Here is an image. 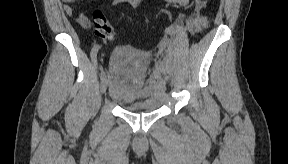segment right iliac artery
Returning a JSON list of instances; mask_svg holds the SVG:
<instances>
[{
	"label": "right iliac artery",
	"instance_id": "82829eb1",
	"mask_svg": "<svg viewBox=\"0 0 288 164\" xmlns=\"http://www.w3.org/2000/svg\"><path fill=\"white\" fill-rule=\"evenodd\" d=\"M100 48H101L100 45H96V46H94V47L92 48L91 53H90L91 60H92L94 66H95L96 68H98L97 53H98V51H99Z\"/></svg>",
	"mask_w": 288,
	"mask_h": 164
}]
</instances>
